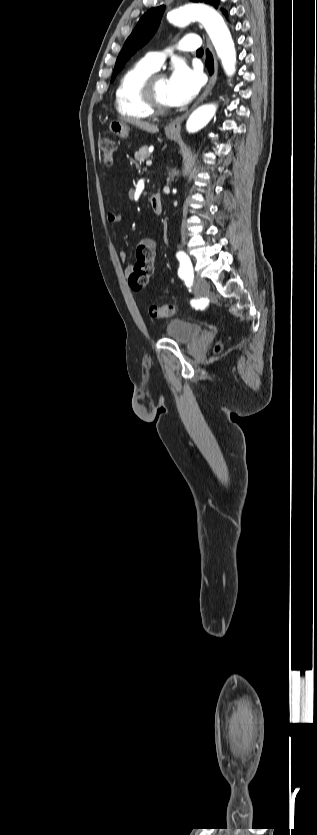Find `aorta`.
<instances>
[{"label": "aorta", "mask_w": 317, "mask_h": 835, "mask_svg": "<svg viewBox=\"0 0 317 835\" xmlns=\"http://www.w3.org/2000/svg\"><path fill=\"white\" fill-rule=\"evenodd\" d=\"M166 18L175 25H187L192 20L199 21L208 33L226 75L231 77L235 73V45L224 19L216 10L202 4H188L169 10ZM216 110V104L198 107L189 116L186 130L189 133L201 130L211 121Z\"/></svg>", "instance_id": "1"}]
</instances>
